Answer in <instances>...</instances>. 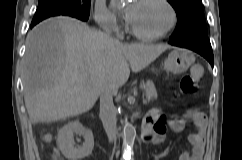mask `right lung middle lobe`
Wrapping results in <instances>:
<instances>
[{
	"instance_id": "1",
	"label": "right lung middle lobe",
	"mask_w": 242,
	"mask_h": 160,
	"mask_svg": "<svg viewBox=\"0 0 242 160\" xmlns=\"http://www.w3.org/2000/svg\"><path fill=\"white\" fill-rule=\"evenodd\" d=\"M91 0H39L31 24H37L51 16H71L82 21L89 18Z\"/></svg>"
}]
</instances>
